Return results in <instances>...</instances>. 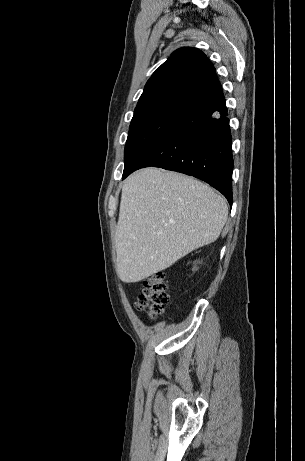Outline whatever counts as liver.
<instances>
[{"label": "liver", "instance_id": "6515ba94", "mask_svg": "<svg viewBox=\"0 0 305 461\" xmlns=\"http://www.w3.org/2000/svg\"><path fill=\"white\" fill-rule=\"evenodd\" d=\"M227 217L225 199L198 180L158 168L133 173L115 232L119 278L139 282L215 242Z\"/></svg>", "mask_w": 305, "mask_h": 461}]
</instances>
